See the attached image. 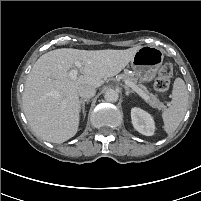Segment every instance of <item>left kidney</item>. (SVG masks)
Masks as SVG:
<instances>
[{
	"mask_svg": "<svg viewBox=\"0 0 201 201\" xmlns=\"http://www.w3.org/2000/svg\"><path fill=\"white\" fill-rule=\"evenodd\" d=\"M131 119L134 128L145 136H152L155 131L153 117L141 108L134 107L131 109Z\"/></svg>",
	"mask_w": 201,
	"mask_h": 201,
	"instance_id": "5707ae66",
	"label": "left kidney"
}]
</instances>
